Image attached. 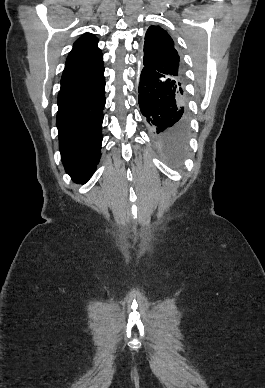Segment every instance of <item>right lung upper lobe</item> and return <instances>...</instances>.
<instances>
[{
	"label": "right lung upper lobe",
	"instance_id": "obj_1",
	"mask_svg": "<svg viewBox=\"0 0 265 388\" xmlns=\"http://www.w3.org/2000/svg\"><path fill=\"white\" fill-rule=\"evenodd\" d=\"M97 43L96 36L90 33L83 34L74 43L66 60L61 87L87 81L104 72L103 55Z\"/></svg>",
	"mask_w": 265,
	"mask_h": 388
}]
</instances>
